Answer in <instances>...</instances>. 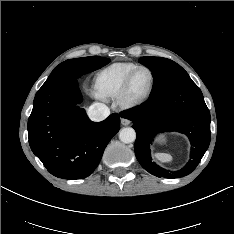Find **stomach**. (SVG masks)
I'll return each instance as SVG.
<instances>
[{
	"label": "stomach",
	"instance_id": "1",
	"mask_svg": "<svg viewBox=\"0 0 234 234\" xmlns=\"http://www.w3.org/2000/svg\"><path fill=\"white\" fill-rule=\"evenodd\" d=\"M166 141V137L165 136H161L159 139H158V142L159 143H164Z\"/></svg>",
	"mask_w": 234,
	"mask_h": 234
}]
</instances>
